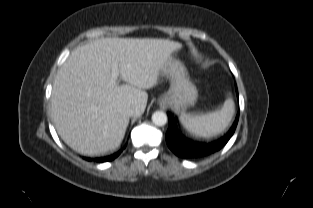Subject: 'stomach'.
Segmentation results:
<instances>
[{
	"mask_svg": "<svg viewBox=\"0 0 313 208\" xmlns=\"http://www.w3.org/2000/svg\"><path fill=\"white\" fill-rule=\"evenodd\" d=\"M171 81L169 91L161 98V104H167L177 110H185L194 104L197 98L196 87L189 80L185 66L170 58L164 64L162 71Z\"/></svg>",
	"mask_w": 313,
	"mask_h": 208,
	"instance_id": "1",
	"label": "stomach"
}]
</instances>
